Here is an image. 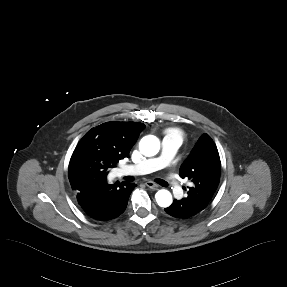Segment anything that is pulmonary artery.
<instances>
[{
	"instance_id": "e3ab8cb5",
	"label": "pulmonary artery",
	"mask_w": 287,
	"mask_h": 287,
	"mask_svg": "<svg viewBox=\"0 0 287 287\" xmlns=\"http://www.w3.org/2000/svg\"><path fill=\"white\" fill-rule=\"evenodd\" d=\"M179 147V138L173 133H168L162 141V152L160 156L149 158L136 165L123 166L118 169L117 173L119 176L128 174H146L165 168L169 165ZM165 179L170 185L174 196L176 198H180L183 194V189L178 177L172 171L168 170L165 173Z\"/></svg>"
}]
</instances>
